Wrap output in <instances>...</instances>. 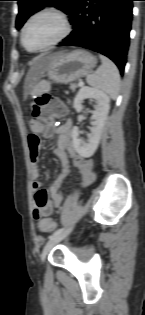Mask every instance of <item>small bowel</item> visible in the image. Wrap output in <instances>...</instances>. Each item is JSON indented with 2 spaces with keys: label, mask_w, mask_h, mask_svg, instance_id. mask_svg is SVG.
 I'll list each match as a JSON object with an SVG mask.
<instances>
[{
  "label": "small bowel",
  "mask_w": 145,
  "mask_h": 315,
  "mask_svg": "<svg viewBox=\"0 0 145 315\" xmlns=\"http://www.w3.org/2000/svg\"><path fill=\"white\" fill-rule=\"evenodd\" d=\"M72 128V123L67 121L53 131L57 135V142L53 147V153L60 159L63 169L49 188L50 202H48L47 191L41 189V183L39 181L40 172L38 168V158L42 141L40 137L36 136L37 133H46L47 131L43 127H37L34 130V134H30L29 137H27L31 162L30 174L33 180L32 189L36 191V206L33 209V217L38 220L39 223L42 221V216H50L54 209L61 206L63 201V181L69 174L71 167H75L79 170L84 186L89 185L95 179L93 162L79 155L74 147ZM53 223L55 224L54 221Z\"/></svg>",
  "instance_id": "c3829d8e"
}]
</instances>
